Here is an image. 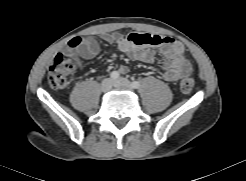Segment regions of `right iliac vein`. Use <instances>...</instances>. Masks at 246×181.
<instances>
[{
    "mask_svg": "<svg viewBox=\"0 0 246 181\" xmlns=\"http://www.w3.org/2000/svg\"><path fill=\"white\" fill-rule=\"evenodd\" d=\"M112 86H113V81L109 78H106L102 81L101 89L104 93H106L111 90Z\"/></svg>",
    "mask_w": 246,
    "mask_h": 181,
    "instance_id": "63e3f726",
    "label": "right iliac vein"
}]
</instances>
